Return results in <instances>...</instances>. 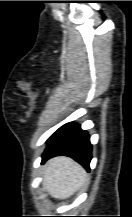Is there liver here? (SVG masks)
Wrapping results in <instances>:
<instances>
[{
  "instance_id": "6515ba94",
  "label": "liver",
  "mask_w": 132,
  "mask_h": 217,
  "mask_svg": "<svg viewBox=\"0 0 132 217\" xmlns=\"http://www.w3.org/2000/svg\"><path fill=\"white\" fill-rule=\"evenodd\" d=\"M85 169L73 159L58 156L45 164L43 186L55 199H66L77 192L86 182Z\"/></svg>"
}]
</instances>
